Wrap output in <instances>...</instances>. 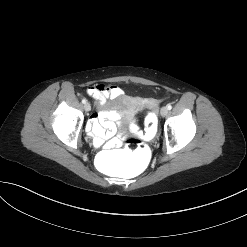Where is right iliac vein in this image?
<instances>
[{"mask_svg": "<svg viewBox=\"0 0 247 247\" xmlns=\"http://www.w3.org/2000/svg\"><path fill=\"white\" fill-rule=\"evenodd\" d=\"M84 109H85L86 112H89L91 110V105L89 103H86L84 105Z\"/></svg>", "mask_w": 247, "mask_h": 247, "instance_id": "right-iliac-vein-1", "label": "right iliac vein"}]
</instances>
